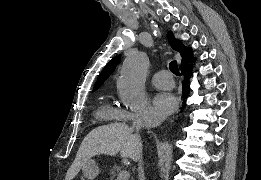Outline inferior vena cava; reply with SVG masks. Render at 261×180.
<instances>
[{"mask_svg": "<svg viewBox=\"0 0 261 180\" xmlns=\"http://www.w3.org/2000/svg\"><path fill=\"white\" fill-rule=\"evenodd\" d=\"M137 128H141V122H140V124H137ZM133 160H134V162H138V172H139L140 178H142L143 164H142L141 154H137V156H135V158H133Z\"/></svg>", "mask_w": 261, "mask_h": 180, "instance_id": "1", "label": "inferior vena cava"}]
</instances>
